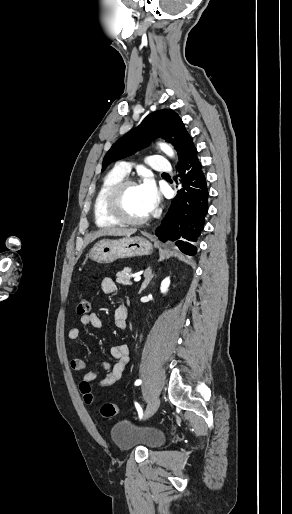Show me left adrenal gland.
Masks as SVG:
<instances>
[{
  "mask_svg": "<svg viewBox=\"0 0 292 514\" xmlns=\"http://www.w3.org/2000/svg\"><path fill=\"white\" fill-rule=\"evenodd\" d=\"M144 278H145V280H144L139 292H142V290H145V288H147L149 282H151V280L153 278L152 270H150V268H147V270H145Z\"/></svg>",
  "mask_w": 292,
  "mask_h": 514,
  "instance_id": "a2214340",
  "label": "left adrenal gland"
}]
</instances>
